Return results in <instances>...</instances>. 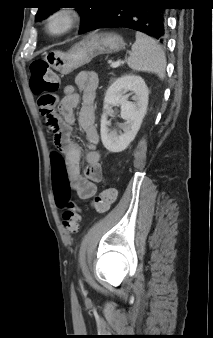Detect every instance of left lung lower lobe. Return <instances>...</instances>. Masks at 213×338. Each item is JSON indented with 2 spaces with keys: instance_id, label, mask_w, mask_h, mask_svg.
Returning a JSON list of instances; mask_svg holds the SVG:
<instances>
[{
  "instance_id": "1",
  "label": "left lung lower lobe",
  "mask_w": 213,
  "mask_h": 338,
  "mask_svg": "<svg viewBox=\"0 0 213 338\" xmlns=\"http://www.w3.org/2000/svg\"><path fill=\"white\" fill-rule=\"evenodd\" d=\"M104 27H125L144 32L163 43L164 8L156 0H104L99 12L80 33Z\"/></svg>"
}]
</instances>
